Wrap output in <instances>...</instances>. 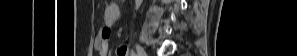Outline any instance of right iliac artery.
Returning a JSON list of instances; mask_svg holds the SVG:
<instances>
[{
    "mask_svg": "<svg viewBox=\"0 0 297 56\" xmlns=\"http://www.w3.org/2000/svg\"><path fill=\"white\" fill-rule=\"evenodd\" d=\"M131 56H136V54L135 53H132Z\"/></svg>",
    "mask_w": 297,
    "mask_h": 56,
    "instance_id": "82829eb1",
    "label": "right iliac artery"
}]
</instances>
